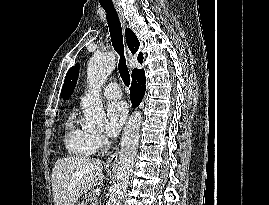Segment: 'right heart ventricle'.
I'll return each mask as SVG.
<instances>
[{"mask_svg": "<svg viewBox=\"0 0 269 205\" xmlns=\"http://www.w3.org/2000/svg\"><path fill=\"white\" fill-rule=\"evenodd\" d=\"M64 145L70 155L78 158H88L96 151L92 134L78 124L76 112L66 120Z\"/></svg>", "mask_w": 269, "mask_h": 205, "instance_id": "obj_1", "label": "right heart ventricle"}]
</instances>
